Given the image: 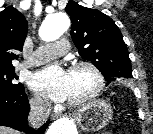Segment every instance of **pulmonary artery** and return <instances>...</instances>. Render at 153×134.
<instances>
[{"label":"pulmonary artery","mask_w":153,"mask_h":134,"mask_svg":"<svg viewBox=\"0 0 153 134\" xmlns=\"http://www.w3.org/2000/svg\"><path fill=\"white\" fill-rule=\"evenodd\" d=\"M69 49L67 39H59L53 44H47L39 47L27 60L24 65L32 66L46 63L54 58L64 55Z\"/></svg>","instance_id":"1"}]
</instances>
